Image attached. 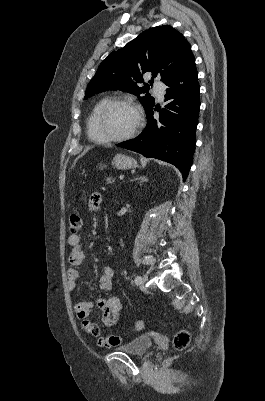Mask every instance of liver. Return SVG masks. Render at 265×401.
I'll use <instances>...</instances> for the list:
<instances>
[{
    "label": "liver",
    "instance_id": "obj_1",
    "mask_svg": "<svg viewBox=\"0 0 265 401\" xmlns=\"http://www.w3.org/2000/svg\"><path fill=\"white\" fill-rule=\"evenodd\" d=\"M90 148H92V146H86V148H84L83 152H81V154H79V156H77V158H75L72 166H75L76 160H78V158H80V156H84V154H86V152H88V150H90Z\"/></svg>",
    "mask_w": 265,
    "mask_h": 401
}]
</instances>
